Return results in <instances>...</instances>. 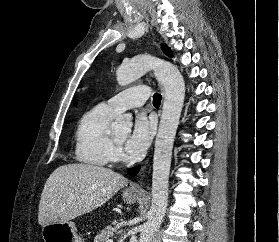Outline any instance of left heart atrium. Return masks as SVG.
<instances>
[{"label": "left heart atrium", "mask_w": 279, "mask_h": 242, "mask_svg": "<svg viewBox=\"0 0 279 242\" xmlns=\"http://www.w3.org/2000/svg\"><path fill=\"white\" fill-rule=\"evenodd\" d=\"M153 133V122L145 114H138L131 134L126 142L127 151L133 155L144 153L151 143Z\"/></svg>", "instance_id": "39dd6f15"}]
</instances>
